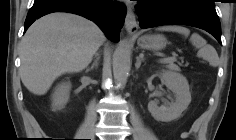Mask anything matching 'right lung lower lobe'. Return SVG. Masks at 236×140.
<instances>
[{
  "label": "right lung lower lobe",
  "instance_id": "1",
  "mask_svg": "<svg viewBox=\"0 0 236 140\" xmlns=\"http://www.w3.org/2000/svg\"><path fill=\"white\" fill-rule=\"evenodd\" d=\"M53 12H70L94 21L113 42H118L126 7L112 0H35L29 10L24 32L40 17Z\"/></svg>",
  "mask_w": 236,
  "mask_h": 140
}]
</instances>
